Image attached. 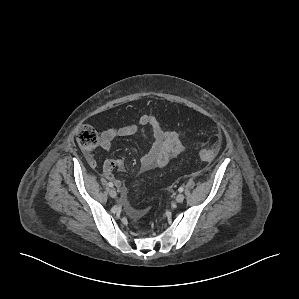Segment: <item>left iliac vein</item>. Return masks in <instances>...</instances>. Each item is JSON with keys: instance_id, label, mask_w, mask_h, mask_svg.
<instances>
[{"instance_id": "4c4485c4", "label": "left iliac vein", "mask_w": 299, "mask_h": 299, "mask_svg": "<svg viewBox=\"0 0 299 299\" xmlns=\"http://www.w3.org/2000/svg\"><path fill=\"white\" fill-rule=\"evenodd\" d=\"M184 198H185L184 194L179 193V194L176 196V201H177L178 203H181V202H183Z\"/></svg>"}]
</instances>
